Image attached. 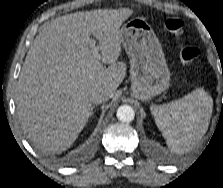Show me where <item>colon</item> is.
Listing matches in <instances>:
<instances>
[{"instance_id":"obj_1","label":"colon","mask_w":223,"mask_h":188,"mask_svg":"<svg viewBox=\"0 0 223 188\" xmlns=\"http://www.w3.org/2000/svg\"><path fill=\"white\" fill-rule=\"evenodd\" d=\"M163 28L178 40L181 61L187 66L193 65L199 56V50L195 46L184 43L185 28L183 22L177 18H168L163 22Z\"/></svg>"}]
</instances>
